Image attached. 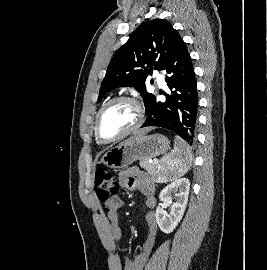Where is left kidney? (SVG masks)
Returning a JSON list of instances; mask_svg holds the SVG:
<instances>
[{
    "label": "left kidney",
    "instance_id": "5707ae66",
    "mask_svg": "<svg viewBox=\"0 0 267 270\" xmlns=\"http://www.w3.org/2000/svg\"><path fill=\"white\" fill-rule=\"evenodd\" d=\"M160 181V179L158 180ZM190 190V182L187 178L176 179L162 189L159 194L161 203L155 213L157 224L160 230L166 234L173 232L183 217L188 202ZM172 193L176 197V201L172 202ZM171 203V211L169 214L163 209L165 204Z\"/></svg>",
    "mask_w": 267,
    "mask_h": 270
}]
</instances>
